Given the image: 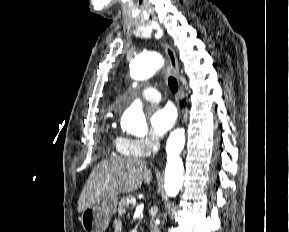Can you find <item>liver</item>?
<instances>
[{"label": "liver", "instance_id": "liver-1", "mask_svg": "<svg viewBox=\"0 0 289 232\" xmlns=\"http://www.w3.org/2000/svg\"><path fill=\"white\" fill-rule=\"evenodd\" d=\"M151 180L146 161L132 157L105 159L90 173L79 196L78 212L118 194L136 191Z\"/></svg>", "mask_w": 289, "mask_h": 232}]
</instances>
